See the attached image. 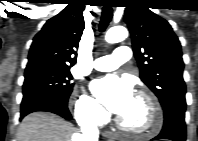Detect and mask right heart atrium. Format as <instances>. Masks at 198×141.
<instances>
[{
    "label": "right heart atrium",
    "mask_w": 198,
    "mask_h": 141,
    "mask_svg": "<svg viewBox=\"0 0 198 141\" xmlns=\"http://www.w3.org/2000/svg\"><path fill=\"white\" fill-rule=\"evenodd\" d=\"M73 108L76 120L82 124L103 125L108 119L105 110L85 92L74 96Z\"/></svg>",
    "instance_id": "right-heart-atrium-1"
}]
</instances>
